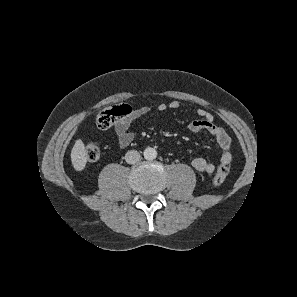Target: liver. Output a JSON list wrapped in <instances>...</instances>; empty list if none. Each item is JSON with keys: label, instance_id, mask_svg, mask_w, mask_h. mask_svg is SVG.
I'll return each instance as SVG.
<instances>
[{"label": "liver", "instance_id": "obj_1", "mask_svg": "<svg viewBox=\"0 0 297 297\" xmlns=\"http://www.w3.org/2000/svg\"><path fill=\"white\" fill-rule=\"evenodd\" d=\"M87 159L88 156L85 150L84 143L81 139L76 140L71 151V161L75 170H83L85 168Z\"/></svg>", "mask_w": 297, "mask_h": 297}]
</instances>
